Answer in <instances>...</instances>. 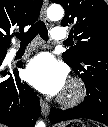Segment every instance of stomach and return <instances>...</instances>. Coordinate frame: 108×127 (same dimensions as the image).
<instances>
[{"label":"stomach","mask_w":108,"mask_h":127,"mask_svg":"<svg viewBox=\"0 0 108 127\" xmlns=\"http://www.w3.org/2000/svg\"><path fill=\"white\" fill-rule=\"evenodd\" d=\"M58 127H87V125L81 120H71L60 124Z\"/></svg>","instance_id":"0dacf381"}]
</instances>
